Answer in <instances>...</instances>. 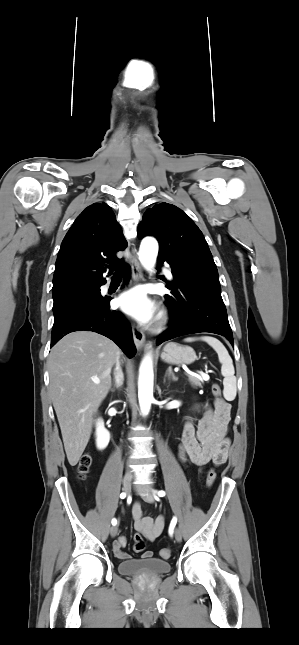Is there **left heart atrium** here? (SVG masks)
Segmentation results:
<instances>
[{
	"mask_svg": "<svg viewBox=\"0 0 299 645\" xmlns=\"http://www.w3.org/2000/svg\"><path fill=\"white\" fill-rule=\"evenodd\" d=\"M119 308L140 322H147L153 315V304L141 288L122 293L117 299Z\"/></svg>",
	"mask_w": 299,
	"mask_h": 645,
	"instance_id": "1",
	"label": "left heart atrium"
}]
</instances>
